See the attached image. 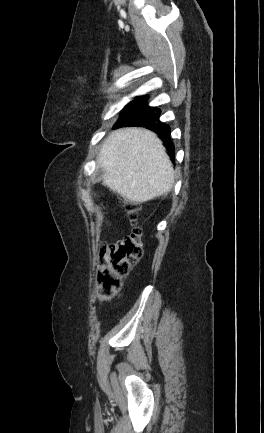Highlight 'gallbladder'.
Wrapping results in <instances>:
<instances>
[{
    "label": "gallbladder",
    "instance_id": "gallbladder-1",
    "mask_svg": "<svg viewBox=\"0 0 264 433\" xmlns=\"http://www.w3.org/2000/svg\"><path fill=\"white\" fill-rule=\"evenodd\" d=\"M103 177H104V172L102 168L98 166L95 172V178L93 180V183L100 182L103 179Z\"/></svg>",
    "mask_w": 264,
    "mask_h": 433
}]
</instances>
